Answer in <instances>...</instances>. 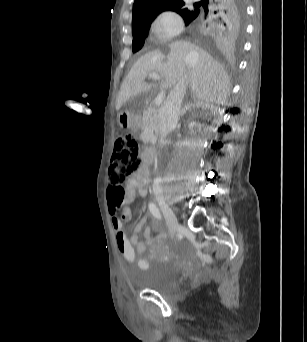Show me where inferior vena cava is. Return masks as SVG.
I'll return each instance as SVG.
<instances>
[{
    "label": "inferior vena cava",
    "instance_id": "1",
    "mask_svg": "<svg viewBox=\"0 0 307 342\" xmlns=\"http://www.w3.org/2000/svg\"><path fill=\"white\" fill-rule=\"evenodd\" d=\"M194 52H190L189 58H193ZM187 68L190 70V64L187 62ZM189 84V78L187 76H182L175 84L173 90L168 94L162 108H160L158 122H159V132L160 140L164 142L167 134L172 132L173 128L177 126L181 108V102L186 94V88ZM153 192H159L162 194L161 178H155L153 182Z\"/></svg>",
    "mask_w": 307,
    "mask_h": 342
}]
</instances>
